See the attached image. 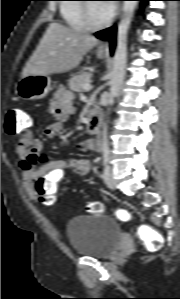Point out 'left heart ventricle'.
Instances as JSON below:
<instances>
[{
  "label": "left heart ventricle",
  "mask_w": 180,
  "mask_h": 299,
  "mask_svg": "<svg viewBox=\"0 0 180 299\" xmlns=\"http://www.w3.org/2000/svg\"><path fill=\"white\" fill-rule=\"evenodd\" d=\"M90 13L95 23L103 22L109 17L102 3H90Z\"/></svg>",
  "instance_id": "left-heart-ventricle-1"
}]
</instances>
